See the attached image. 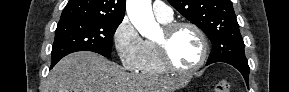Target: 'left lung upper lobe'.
<instances>
[{"label": "left lung upper lobe", "instance_id": "obj_1", "mask_svg": "<svg viewBox=\"0 0 289 92\" xmlns=\"http://www.w3.org/2000/svg\"><path fill=\"white\" fill-rule=\"evenodd\" d=\"M197 25L212 42L208 63L219 60L247 62L244 42L230 0H168Z\"/></svg>", "mask_w": 289, "mask_h": 92}]
</instances>
